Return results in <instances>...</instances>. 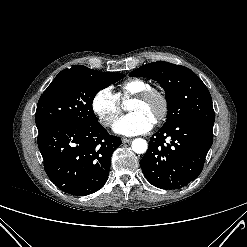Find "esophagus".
<instances>
[{"instance_id": "34e87169", "label": "esophagus", "mask_w": 247, "mask_h": 247, "mask_svg": "<svg viewBox=\"0 0 247 247\" xmlns=\"http://www.w3.org/2000/svg\"><path fill=\"white\" fill-rule=\"evenodd\" d=\"M131 141H132L131 138H122V142H123V143H129V142H131Z\"/></svg>"}]
</instances>
